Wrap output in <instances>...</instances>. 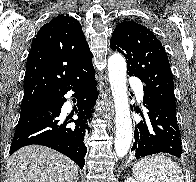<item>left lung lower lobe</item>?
Here are the masks:
<instances>
[{
  "label": "left lung lower lobe",
  "instance_id": "left-lung-lower-lobe-1",
  "mask_svg": "<svg viewBox=\"0 0 196 182\" xmlns=\"http://www.w3.org/2000/svg\"><path fill=\"white\" fill-rule=\"evenodd\" d=\"M143 103L144 113L136 109L143 121L135 126V141L131 149L135 157L139 159L156 153L181 157L182 141L176 110L145 88Z\"/></svg>",
  "mask_w": 196,
  "mask_h": 182
}]
</instances>
